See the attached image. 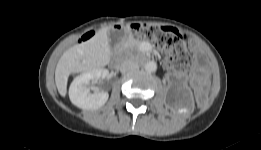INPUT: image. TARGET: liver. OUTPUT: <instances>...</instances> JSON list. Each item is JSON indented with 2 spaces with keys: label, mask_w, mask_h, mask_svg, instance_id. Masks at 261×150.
I'll list each match as a JSON object with an SVG mask.
<instances>
[{
  "label": "liver",
  "mask_w": 261,
  "mask_h": 150,
  "mask_svg": "<svg viewBox=\"0 0 261 150\" xmlns=\"http://www.w3.org/2000/svg\"><path fill=\"white\" fill-rule=\"evenodd\" d=\"M109 30L110 27L102 28L88 41L76 44L63 53L55 70V83L61 96L66 95L69 75L98 69L109 63Z\"/></svg>",
  "instance_id": "liver-1"
}]
</instances>
